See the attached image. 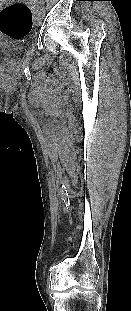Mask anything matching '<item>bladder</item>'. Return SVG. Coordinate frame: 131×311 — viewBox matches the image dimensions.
Instances as JSON below:
<instances>
[{
	"mask_svg": "<svg viewBox=\"0 0 131 311\" xmlns=\"http://www.w3.org/2000/svg\"><path fill=\"white\" fill-rule=\"evenodd\" d=\"M10 49L12 52H17L19 51L21 48L19 46H10Z\"/></svg>",
	"mask_w": 131,
	"mask_h": 311,
	"instance_id": "1",
	"label": "bladder"
}]
</instances>
